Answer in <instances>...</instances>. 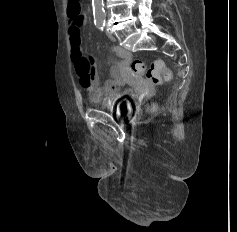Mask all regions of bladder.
<instances>
[{
  "label": "bladder",
  "mask_w": 237,
  "mask_h": 232,
  "mask_svg": "<svg viewBox=\"0 0 237 232\" xmlns=\"http://www.w3.org/2000/svg\"><path fill=\"white\" fill-rule=\"evenodd\" d=\"M132 94V91L125 90L123 98L119 99L113 104L105 103L103 106L109 110H112L118 117H124L133 110Z\"/></svg>",
  "instance_id": "1"
}]
</instances>
